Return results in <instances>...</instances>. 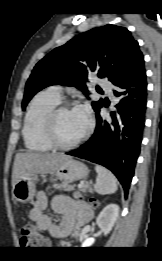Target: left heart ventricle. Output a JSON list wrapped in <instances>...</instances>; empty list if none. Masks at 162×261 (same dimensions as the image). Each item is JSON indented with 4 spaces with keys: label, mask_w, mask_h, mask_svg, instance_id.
Segmentation results:
<instances>
[{
    "label": "left heart ventricle",
    "mask_w": 162,
    "mask_h": 261,
    "mask_svg": "<svg viewBox=\"0 0 162 261\" xmlns=\"http://www.w3.org/2000/svg\"><path fill=\"white\" fill-rule=\"evenodd\" d=\"M86 128L74 113V110L61 112L56 120V133L63 143H70L79 138Z\"/></svg>",
    "instance_id": "1"
}]
</instances>
